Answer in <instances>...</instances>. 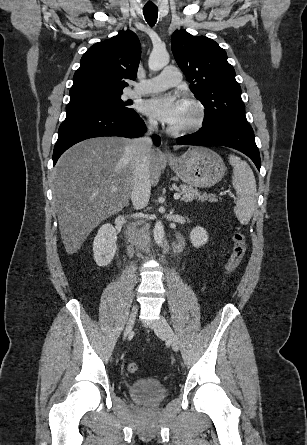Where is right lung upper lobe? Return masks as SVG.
I'll return each instance as SVG.
<instances>
[{
    "label": "right lung upper lobe",
    "mask_w": 307,
    "mask_h": 445,
    "mask_svg": "<svg viewBox=\"0 0 307 445\" xmlns=\"http://www.w3.org/2000/svg\"><path fill=\"white\" fill-rule=\"evenodd\" d=\"M141 56L138 37L130 30L91 46L73 77L70 97L122 94L125 80H135Z\"/></svg>",
    "instance_id": "1"
}]
</instances>
